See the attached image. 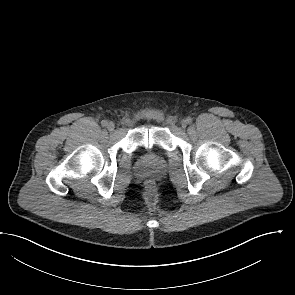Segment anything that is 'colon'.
I'll list each match as a JSON object with an SVG mask.
<instances>
[{
  "label": "colon",
  "instance_id": "obj_1",
  "mask_svg": "<svg viewBox=\"0 0 295 295\" xmlns=\"http://www.w3.org/2000/svg\"><path fill=\"white\" fill-rule=\"evenodd\" d=\"M147 185H148L149 188H152L153 187V185H152L151 182H149Z\"/></svg>",
  "mask_w": 295,
  "mask_h": 295
}]
</instances>
